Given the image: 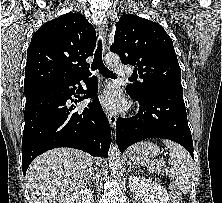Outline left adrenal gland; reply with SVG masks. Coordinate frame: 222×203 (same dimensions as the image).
<instances>
[{"label": "left adrenal gland", "instance_id": "obj_1", "mask_svg": "<svg viewBox=\"0 0 222 203\" xmlns=\"http://www.w3.org/2000/svg\"><path fill=\"white\" fill-rule=\"evenodd\" d=\"M127 163H128V166H129V167H128V171H129L131 168H134V167L136 168V166H135L134 164H132L131 161H128Z\"/></svg>", "mask_w": 222, "mask_h": 203}]
</instances>
